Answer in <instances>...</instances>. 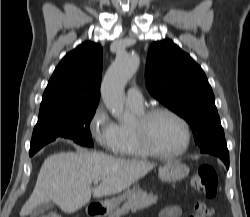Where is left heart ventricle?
I'll use <instances>...</instances> for the list:
<instances>
[{"label": "left heart ventricle", "instance_id": "1", "mask_svg": "<svg viewBox=\"0 0 250 217\" xmlns=\"http://www.w3.org/2000/svg\"><path fill=\"white\" fill-rule=\"evenodd\" d=\"M152 144L161 152L170 153L181 149L185 134L181 124L167 114L154 116L148 125Z\"/></svg>", "mask_w": 250, "mask_h": 217}]
</instances>
